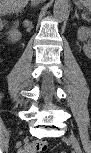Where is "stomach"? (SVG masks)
Listing matches in <instances>:
<instances>
[{
  "mask_svg": "<svg viewBox=\"0 0 91 153\" xmlns=\"http://www.w3.org/2000/svg\"><path fill=\"white\" fill-rule=\"evenodd\" d=\"M81 2H82L83 5H85L87 7H89L90 4H91V1L90 0H82Z\"/></svg>",
  "mask_w": 91,
  "mask_h": 153,
  "instance_id": "stomach-1",
  "label": "stomach"
}]
</instances>
